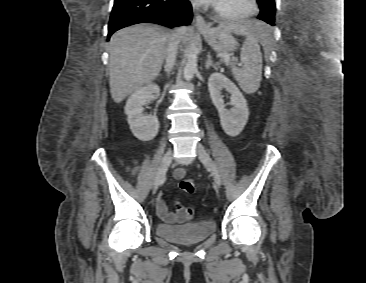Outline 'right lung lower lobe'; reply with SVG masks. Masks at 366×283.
I'll return each instance as SVG.
<instances>
[{
  "mask_svg": "<svg viewBox=\"0 0 366 283\" xmlns=\"http://www.w3.org/2000/svg\"><path fill=\"white\" fill-rule=\"evenodd\" d=\"M192 7L188 0H114L108 25V39L117 30L138 23L167 27L189 25Z\"/></svg>",
  "mask_w": 366,
  "mask_h": 283,
  "instance_id": "1",
  "label": "right lung lower lobe"
}]
</instances>
